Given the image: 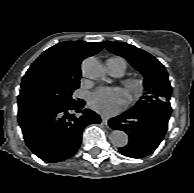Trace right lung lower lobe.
<instances>
[{
  "label": "right lung lower lobe",
  "instance_id": "right-lung-lower-lobe-1",
  "mask_svg": "<svg viewBox=\"0 0 194 193\" xmlns=\"http://www.w3.org/2000/svg\"><path fill=\"white\" fill-rule=\"evenodd\" d=\"M83 101L70 107L36 106L19 108L18 121L31 151L46 162H60L80 147L82 131L89 124H99V115L82 110ZM82 112L76 117L74 112Z\"/></svg>",
  "mask_w": 194,
  "mask_h": 193
}]
</instances>
